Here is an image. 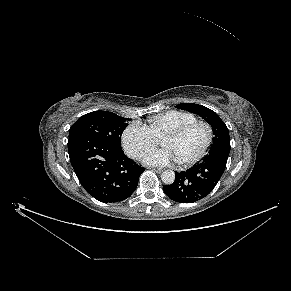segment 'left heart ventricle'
Instances as JSON below:
<instances>
[{"instance_id":"left-heart-ventricle-1","label":"left heart ventricle","mask_w":291,"mask_h":291,"mask_svg":"<svg viewBox=\"0 0 291 291\" xmlns=\"http://www.w3.org/2000/svg\"><path fill=\"white\" fill-rule=\"evenodd\" d=\"M206 140V130L197 126L178 138H165L161 141L163 147L173 151L177 160H188L195 156Z\"/></svg>"}]
</instances>
